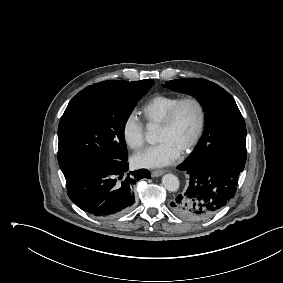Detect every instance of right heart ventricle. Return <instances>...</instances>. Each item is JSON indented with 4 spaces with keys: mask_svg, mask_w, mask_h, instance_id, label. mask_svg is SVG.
<instances>
[{
    "mask_svg": "<svg viewBox=\"0 0 283 283\" xmlns=\"http://www.w3.org/2000/svg\"><path fill=\"white\" fill-rule=\"evenodd\" d=\"M180 99L179 96L156 95L141 107L140 112L148 125H160Z\"/></svg>",
    "mask_w": 283,
    "mask_h": 283,
    "instance_id": "obj_1",
    "label": "right heart ventricle"
}]
</instances>
